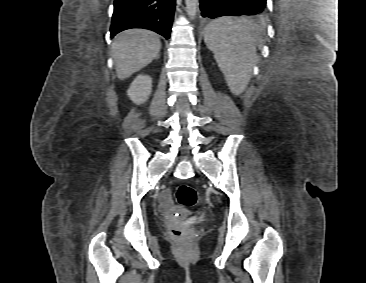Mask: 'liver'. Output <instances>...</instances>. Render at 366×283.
<instances>
[{
  "label": "liver",
  "mask_w": 366,
  "mask_h": 283,
  "mask_svg": "<svg viewBox=\"0 0 366 283\" xmlns=\"http://www.w3.org/2000/svg\"><path fill=\"white\" fill-rule=\"evenodd\" d=\"M161 41L153 31L132 28L118 33L112 44L117 77L124 80L159 57Z\"/></svg>",
  "instance_id": "liver-1"
}]
</instances>
